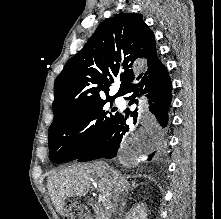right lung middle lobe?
Masks as SVG:
<instances>
[{"label": "right lung middle lobe", "mask_w": 221, "mask_h": 219, "mask_svg": "<svg viewBox=\"0 0 221 219\" xmlns=\"http://www.w3.org/2000/svg\"><path fill=\"white\" fill-rule=\"evenodd\" d=\"M115 98L96 101L75 109L49 127V158L67 162L85 155L106 135L118 112L112 108ZM111 102V106L106 103Z\"/></svg>", "instance_id": "1"}]
</instances>
